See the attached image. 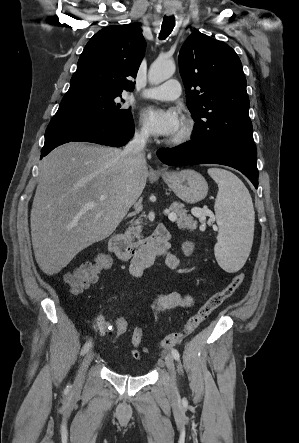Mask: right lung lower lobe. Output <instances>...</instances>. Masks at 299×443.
<instances>
[{"instance_id":"98d812e1","label":"right lung lower lobe","mask_w":299,"mask_h":443,"mask_svg":"<svg viewBox=\"0 0 299 443\" xmlns=\"http://www.w3.org/2000/svg\"><path fill=\"white\" fill-rule=\"evenodd\" d=\"M134 131L132 116L97 121L51 119L46 129L41 158L59 145L74 141L120 147L129 141Z\"/></svg>"}]
</instances>
